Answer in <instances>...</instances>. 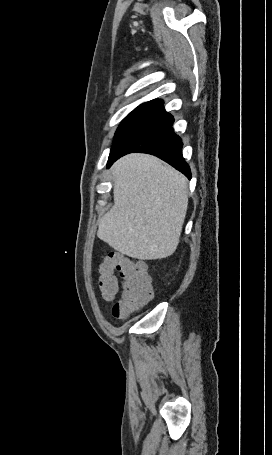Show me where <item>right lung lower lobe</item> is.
Wrapping results in <instances>:
<instances>
[{
	"instance_id": "right-lung-lower-lobe-1",
	"label": "right lung lower lobe",
	"mask_w": 272,
	"mask_h": 455,
	"mask_svg": "<svg viewBox=\"0 0 272 455\" xmlns=\"http://www.w3.org/2000/svg\"><path fill=\"white\" fill-rule=\"evenodd\" d=\"M173 116L162 109L128 134L111 150L107 167L121 156L131 152L155 155L191 179L190 168L182 157V141L172 128Z\"/></svg>"
}]
</instances>
